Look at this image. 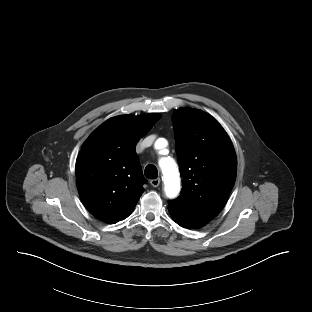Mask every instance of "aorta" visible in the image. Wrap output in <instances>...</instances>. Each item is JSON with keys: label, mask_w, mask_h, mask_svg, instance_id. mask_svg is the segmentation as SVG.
I'll list each match as a JSON object with an SVG mask.
<instances>
[{"label": "aorta", "mask_w": 312, "mask_h": 312, "mask_svg": "<svg viewBox=\"0 0 312 312\" xmlns=\"http://www.w3.org/2000/svg\"><path fill=\"white\" fill-rule=\"evenodd\" d=\"M159 166L164 175L166 195L168 197H175L180 190V179L174 160L169 157L162 158L159 161Z\"/></svg>", "instance_id": "1"}]
</instances>
